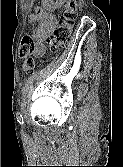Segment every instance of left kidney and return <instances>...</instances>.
I'll return each instance as SVG.
<instances>
[{
	"label": "left kidney",
	"instance_id": "obj_1",
	"mask_svg": "<svg viewBox=\"0 0 123 167\" xmlns=\"http://www.w3.org/2000/svg\"><path fill=\"white\" fill-rule=\"evenodd\" d=\"M43 1H45V3L48 5V1H50V0H43ZM61 5H62V0H59V2H57V3L55 4L54 8H58V7H60Z\"/></svg>",
	"mask_w": 123,
	"mask_h": 167
}]
</instances>
